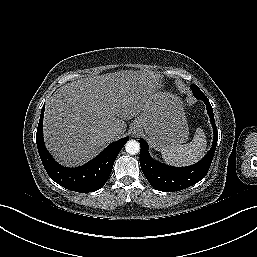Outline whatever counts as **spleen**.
Masks as SVG:
<instances>
[{"instance_id":"spleen-1","label":"spleen","mask_w":257,"mask_h":257,"mask_svg":"<svg viewBox=\"0 0 257 257\" xmlns=\"http://www.w3.org/2000/svg\"><path fill=\"white\" fill-rule=\"evenodd\" d=\"M206 136L201 128L195 132L191 142L181 145L175 144L161 150L166 163L175 166H188L200 160L206 151Z\"/></svg>"}]
</instances>
